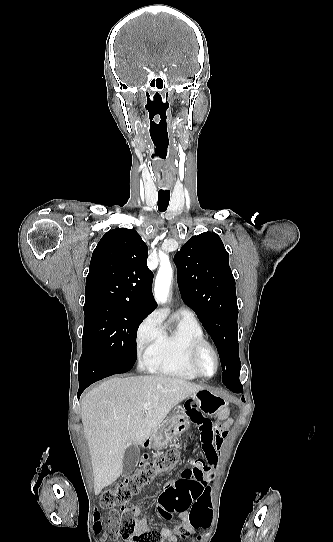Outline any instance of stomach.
Wrapping results in <instances>:
<instances>
[{
    "label": "stomach",
    "mask_w": 333,
    "mask_h": 542,
    "mask_svg": "<svg viewBox=\"0 0 333 542\" xmlns=\"http://www.w3.org/2000/svg\"><path fill=\"white\" fill-rule=\"evenodd\" d=\"M188 398L196 402L198 410H200L201 414H205V416H214V414H217L219 410H222L226 406V400L222 396H219V394H214L211 390H200V392H195V394H191ZM178 420L179 418H176V420H172V418L166 420L162 426H159L153 432L148 440H145L143 444L144 448H157L158 450V448L169 446L174 439H179L185 428H188L189 422L186 420L185 424L182 425L179 424ZM182 436L188 438L190 435L184 433Z\"/></svg>",
    "instance_id": "0dacf381"
}]
</instances>
